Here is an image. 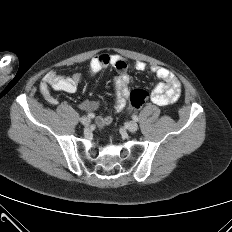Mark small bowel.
I'll use <instances>...</instances> for the list:
<instances>
[{
  "instance_id": "small-bowel-1",
  "label": "small bowel",
  "mask_w": 232,
  "mask_h": 232,
  "mask_svg": "<svg viewBox=\"0 0 232 232\" xmlns=\"http://www.w3.org/2000/svg\"><path fill=\"white\" fill-rule=\"evenodd\" d=\"M106 67H113L117 72L113 81L115 94L114 109L115 111H121L125 107L130 95V65L118 55L101 53L91 59L88 69L90 75L95 76ZM134 69L138 72H144L148 68L144 62L136 61ZM149 72L161 80L152 91V101L160 106L176 102L181 94V82L179 79L170 70L158 65L151 66ZM81 80L82 75L80 73H74L71 76H62L56 71H49L40 84V91L49 104L56 105L58 100L51 93V89L74 93ZM99 107L100 103L93 100H86L79 104V108L83 111H94ZM111 122L112 118L110 116H100L96 119V125L100 128L109 125Z\"/></svg>"
}]
</instances>
